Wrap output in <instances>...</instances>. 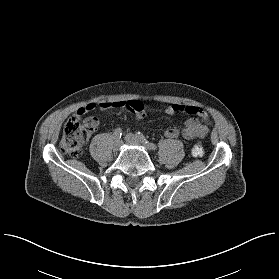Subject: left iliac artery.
Here are the masks:
<instances>
[{
    "label": "left iliac artery",
    "instance_id": "44dca946",
    "mask_svg": "<svg viewBox=\"0 0 279 279\" xmlns=\"http://www.w3.org/2000/svg\"><path fill=\"white\" fill-rule=\"evenodd\" d=\"M136 137L144 144H146L148 146V148L152 149V150H156L157 146L156 144L150 142L141 132H137L136 133Z\"/></svg>",
    "mask_w": 279,
    "mask_h": 279
}]
</instances>
